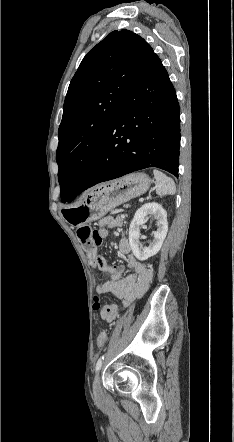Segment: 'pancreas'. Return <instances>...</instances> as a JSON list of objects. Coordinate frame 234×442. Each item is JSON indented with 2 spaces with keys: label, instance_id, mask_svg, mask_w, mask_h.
<instances>
[{
  "label": "pancreas",
  "instance_id": "cf45deb5",
  "mask_svg": "<svg viewBox=\"0 0 234 442\" xmlns=\"http://www.w3.org/2000/svg\"><path fill=\"white\" fill-rule=\"evenodd\" d=\"M124 207L128 208V207H130V205H129V204H126V205H124Z\"/></svg>",
  "mask_w": 234,
  "mask_h": 442
}]
</instances>
